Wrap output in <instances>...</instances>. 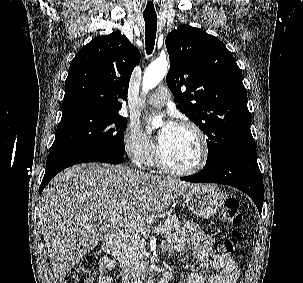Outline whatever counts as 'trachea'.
Wrapping results in <instances>:
<instances>
[{"mask_svg": "<svg viewBox=\"0 0 303 283\" xmlns=\"http://www.w3.org/2000/svg\"><path fill=\"white\" fill-rule=\"evenodd\" d=\"M145 20V44L147 54H151L154 49L156 30H157V17L143 15Z\"/></svg>", "mask_w": 303, "mask_h": 283, "instance_id": "1", "label": "trachea"}]
</instances>
